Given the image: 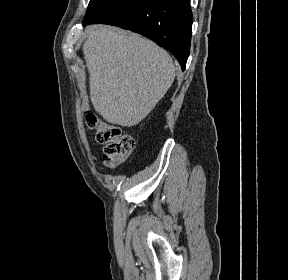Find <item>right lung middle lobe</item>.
<instances>
[{"mask_svg": "<svg viewBox=\"0 0 288 280\" xmlns=\"http://www.w3.org/2000/svg\"><path fill=\"white\" fill-rule=\"evenodd\" d=\"M113 1L115 0H90L84 21L90 20L99 10Z\"/></svg>", "mask_w": 288, "mask_h": 280, "instance_id": "dd1d6c3e", "label": "right lung middle lobe"}]
</instances>
